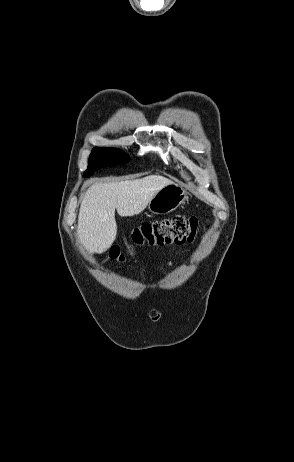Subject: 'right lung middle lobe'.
<instances>
[{
  "instance_id": "obj_1",
  "label": "right lung middle lobe",
  "mask_w": 294,
  "mask_h": 462,
  "mask_svg": "<svg viewBox=\"0 0 294 462\" xmlns=\"http://www.w3.org/2000/svg\"><path fill=\"white\" fill-rule=\"evenodd\" d=\"M96 155H105L109 158H112L115 162L120 164L129 161L128 156L124 152L114 148L96 147L92 150L90 158Z\"/></svg>"
}]
</instances>
